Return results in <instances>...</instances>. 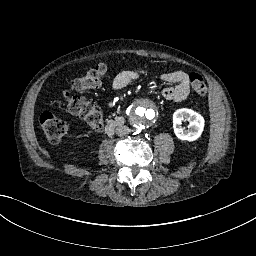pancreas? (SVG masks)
I'll return each instance as SVG.
<instances>
[{"mask_svg":"<svg viewBox=\"0 0 256 256\" xmlns=\"http://www.w3.org/2000/svg\"><path fill=\"white\" fill-rule=\"evenodd\" d=\"M107 122H108V123H113L114 125H116V124H118V123H125L126 120H125L124 117L121 116V117H117L115 122H111V121H109V120H107Z\"/></svg>","mask_w":256,"mask_h":256,"instance_id":"1","label":"pancreas"}]
</instances>
